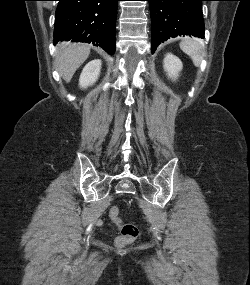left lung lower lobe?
Returning a JSON list of instances; mask_svg holds the SVG:
<instances>
[{
	"mask_svg": "<svg viewBox=\"0 0 250 285\" xmlns=\"http://www.w3.org/2000/svg\"><path fill=\"white\" fill-rule=\"evenodd\" d=\"M151 14V52L168 38L193 35L204 38L202 1L206 0H147Z\"/></svg>",
	"mask_w": 250,
	"mask_h": 285,
	"instance_id": "1",
	"label": "left lung lower lobe"
}]
</instances>
